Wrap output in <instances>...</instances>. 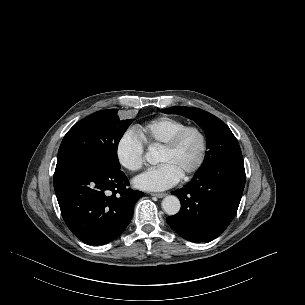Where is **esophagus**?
I'll use <instances>...</instances> for the list:
<instances>
[{"label":"esophagus","mask_w":305,"mask_h":305,"mask_svg":"<svg viewBox=\"0 0 305 305\" xmlns=\"http://www.w3.org/2000/svg\"><path fill=\"white\" fill-rule=\"evenodd\" d=\"M151 196L157 197V198H162L166 196V193H151Z\"/></svg>","instance_id":"obj_1"}]
</instances>
